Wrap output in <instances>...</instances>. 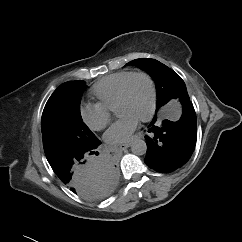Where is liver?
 Wrapping results in <instances>:
<instances>
[{"mask_svg":"<svg viewBox=\"0 0 242 242\" xmlns=\"http://www.w3.org/2000/svg\"><path fill=\"white\" fill-rule=\"evenodd\" d=\"M100 175L91 183L84 185L78 194L89 199H94V197L101 196L104 189L106 188L107 182L104 180H100Z\"/></svg>","mask_w":242,"mask_h":242,"instance_id":"1","label":"liver"}]
</instances>
